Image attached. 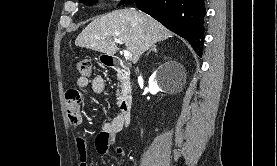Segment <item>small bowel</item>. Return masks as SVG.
<instances>
[{
	"label": "small bowel",
	"mask_w": 277,
	"mask_h": 166,
	"mask_svg": "<svg viewBox=\"0 0 277 166\" xmlns=\"http://www.w3.org/2000/svg\"><path fill=\"white\" fill-rule=\"evenodd\" d=\"M91 88L94 93L101 94L105 90V80L102 76L97 75L90 81L87 77H80L77 80V88L70 89L66 92V106L69 120L72 125L79 126L83 123V118L80 113V103L82 99L81 91ZM123 122L119 116L113 118L110 122L105 123L102 129L97 133L95 137L96 150L100 154H107L110 148L114 145L117 139L118 133L123 129ZM89 133L80 134L77 137V150L79 153V166H89L88 164V143ZM114 153L118 157H123L125 151L122 147H115Z\"/></svg>",
	"instance_id": "c3829d8e"
}]
</instances>
